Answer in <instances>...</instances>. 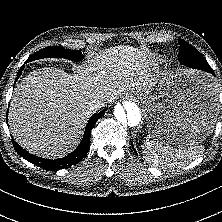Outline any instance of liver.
Returning <instances> with one entry per match:
<instances>
[{"instance_id":"liver-1","label":"liver","mask_w":222,"mask_h":222,"mask_svg":"<svg viewBox=\"0 0 222 222\" xmlns=\"http://www.w3.org/2000/svg\"><path fill=\"white\" fill-rule=\"evenodd\" d=\"M157 83L152 61L130 46L111 47L71 75L46 67L14 89L9 125L16 142L46 158H61L78 145L94 99L110 102L125 92L150 93Z\"/></svg>"}]
</instances>
